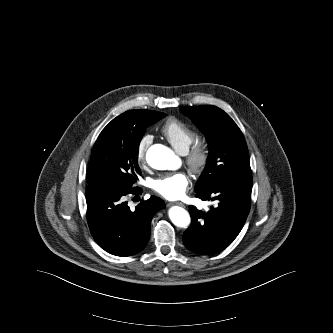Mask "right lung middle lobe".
<instances>
[{
    "label": "right lung middle lobe",
    "mask_w": 333,
    "mask_h": 333,
    "mask_svg": "<svg viewBox=\"0 0 333 333\" xmlns=\"http://www.w3.org/2000/svg\"><path fill=\"white\" fill-rule=\"evenodd\" d=\"M164 113L133 111L121 124H108L92 149L87 182L89 187L129 189L141 175L138 149L145 129Z\"/></svg>",
    "instance_id": "dd1d6c3e"
}]
</instances>
